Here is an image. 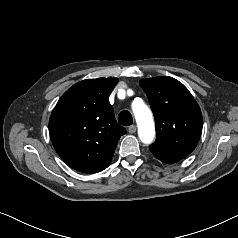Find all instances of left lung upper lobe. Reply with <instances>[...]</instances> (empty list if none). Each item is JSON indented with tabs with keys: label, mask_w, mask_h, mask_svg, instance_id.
<instances>
[{
	"label": "left lung upper lobe",
	"mask_w": 238,
	"mask_h": 238,
	"mask_svg": "<svg viewBox=\"0 0 238 238\" xmlns=\"http://www.w3.org/2000/svg\"><path fill=\"white\" fill-rule=\"evenodd\" d=\"M156 124L152 153L183 159L198 144L202 132V114L189 90L178 80L160 76L142 79Z\"/></svg>",
	"instance_id": "obj_1"
}]
</instances>
